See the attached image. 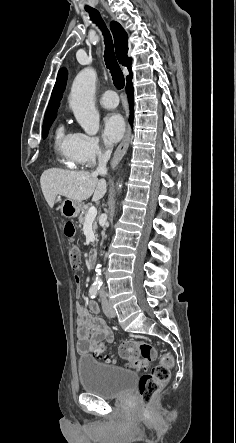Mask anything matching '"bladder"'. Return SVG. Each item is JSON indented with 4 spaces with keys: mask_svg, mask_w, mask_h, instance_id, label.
<instances>
[{
    "mask_svg": "<svg viewBox=\"0 0 236 443\" xmlns=\"http://www.w3.org/2000/svg\"><path fill=\"white\" fill-rule=\"evenodd\" d=\"M79 379L84 392L103 399L120 398L132 390L136 383V373L112 367L81 357L78 360Z\"/></svg>",
    "mask_w": 236,
    "mask_h": 443,
    "instance_id": "31cf9c89",
    "label": "bladder"
}]
</instances>
